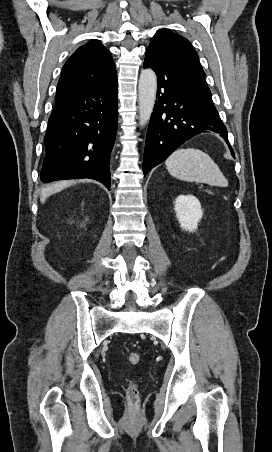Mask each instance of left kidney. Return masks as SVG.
I'll return each mask as SVG.
<instances>
[{"mask_svg":"<svg viewBox=\"0 0 272 452\" xmlns=\"http://www.w3.org/2000/svg\"><path fill=\"white\" fill-rule=\"evenodd\" d=\"M174 210L183 230L193 232L203 216L199 200L193 195H180L174 202Z\"/></svg>","mask_w":272,"mask_h":452,"instance_id":"left-kidney-1","label":"left kidney"}]
</instances>
